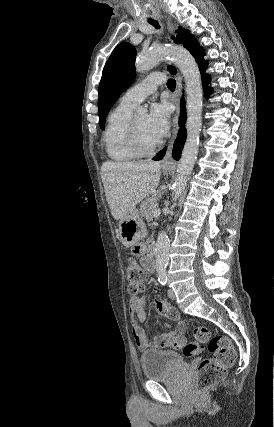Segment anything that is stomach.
Wrapping results in <instances>:
<instances>
[{
  "label": "stomach",
  "instance_id": "1",
  "mask_svg": "<svg viewBox=\"0 0 274 427\" xmlns=\"http://www.w3.org/2000/svg\"><path fill=\"white\" fill-rule=\"evenodd\" d=\"M118 235L120 241L126 247L135 245L137 241H140V239H143L147 235L146 225L137 210L129 212V214L124 215L120 219L118 223Z\"/></svg>",
  "mask_w": 274,
  "mask_h": 427
}]
</instances>
